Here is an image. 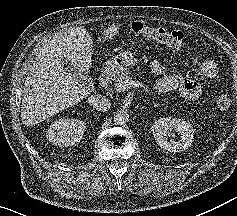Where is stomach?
I'll return each instance as SVG.
<instances>
[{
    "label": "stomach",
    "mask_w": 237,
    "mask_h": 216,
    "mask_svg": "<svg viewBox=\"0 0 237 216\" xmlns=\"http://www.w3.org/2000/svg\"><path fill=\"white\" fill-rule=\"evenodd\" d=\"M135 64V59L130 51L120 52L107 62V68L112 71H126Z\"/></svg>",
    "instance_id": "obj_1"
}]
</instances>
